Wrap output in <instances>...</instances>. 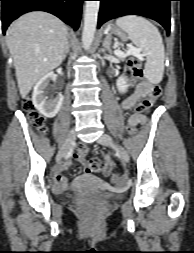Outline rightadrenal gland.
I'll list each match as a JSON object with an SVG mask.
<instances>
[{"instance_id": "2a0ac1e0", "label": "right adrenal gland", "mask_w": 194, "mask_h": 253, "mask_svg": "<svg viewBox=\"0 0 194 253\" xmlns=\"http://www.w3.org/2000/svg\"><path fill=\"white\" fill-rule=\"evenodd\" d=\"M69 35L67 36V39H66V44H65V50H64V55H63V60H65L66 56L68 55L69 53Z\"/></svg>"}]
</instances>
